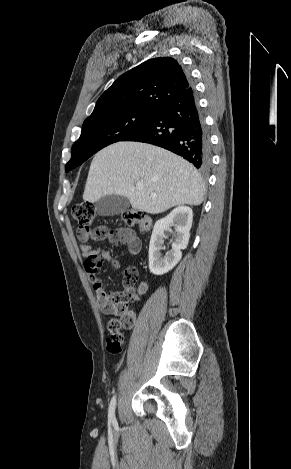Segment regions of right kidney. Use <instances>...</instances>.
I'll return each instance as SVG.
<instances>
[{"label":"right kidney","mask_w":291,"mask_h":469,"mask_svg":"<svg viewBox=\"0 0 291 469\" xmlns=\"http://www.w3.org/2000/svg\"><path fill=\"white\" fill-rule=\"evenodd\" d=\"M192 221V209L179 206L155 223L149 245V269L151 273L163 275L172 270L180 261L182 257L181 250L186 249L189 242ZM171 225L176 227L175 239L172 243V250L163 257L160 251L163 249L164 231L168 230Z\"/></svg>","instance_id":"obj_1"}]
</instances>
